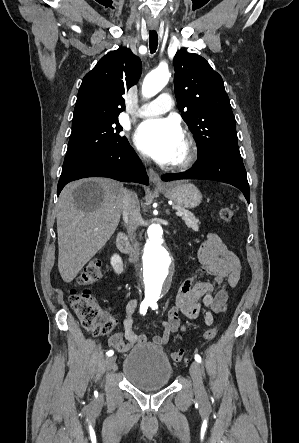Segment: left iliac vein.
I'll list each match as a JSON object with an SVG mask.
<instances>
[{
  "mask_svg": "<svg viewBox=\"0 0 299 443\" xmlns=\"http://www.w3.org/2000/svg\"><path fill=\"white\" fill-rule=\"evenodd\" d=\"M189 371H190V375L193 380V388H194L195 394H198L200 396H204L205 389H204L203 380H202L201 368H200V365L198 364V362L192 361Z\"/></svg>",
  "mask_w": 299,
  "mask_h": 443,
  "instance_id": "4c4485c4",
  "label": "left iliac vein"
}]
</instances>
